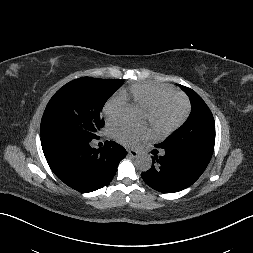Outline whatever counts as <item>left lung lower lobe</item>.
<instances>
[{
	"label": "left lung lower lobe",
	"mask_w": 253,
	"mask_h": 253,
	"mask_svg": "<svg viewBox=\"0 0 253 253\" xmlns=\"http://www.w3.org/2000/svg\"><path fill=\"white\" fill-rule=\"evenodd\" d=\"M161 149L163 155L152 157V167L142 173L145 183L160 192L173 193L191 186L209 163L198 155L182 149Z\"/></svg>",
	"instance_id": "obj_1"
}]
</instances>
